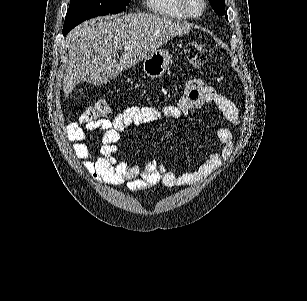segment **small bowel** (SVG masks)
<instances>
[{
	"mask_svg": "<svg viewBox=\"0 0 307 301\" xmlns=\"http://www.w3.org/2000/svg\"><path fill=\"white\" fill-rule=\"evenodd\" d=\"M206 103H212L228 122L234 126L239 125L240 113L234 102L201 80L192 79L186 84L184 94L175 105H168L162 109L130 106L111 120H100L85 127L71 122L66 127V136L72 142L74 154L82 160L84 168L95 181L114 186L126 185L131 192L145 190L158 184L166 187L194 185L207 179L222 161H226L232 155L233 135L226 126L219 125L215 128V135L221 147L212 151L196 171L180 176H176L155 161L130 165L117 161L114 155L118 151L120 134L130 126L149 124L161 117L182 119L187 117L191 110L201 108ZM96 129L103 131L99 156H95L86 144L87 132Z\"/></svg>",
	"mask_w": 307,
	"mask_h": 301,
	"instance_id": "1",
	"label": "small bowel"
}]
</instances>
